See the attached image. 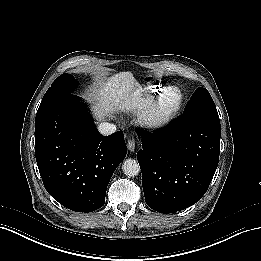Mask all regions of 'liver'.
<instances>
[{"mask_svg":"<svg viewBox=\"0 0 261 261\" xmlns=\"http://www.w3.org/2000/svg\"><path fill=\"white\" fill-rule=\"evenodd\" d=\"M88 99L94 104L92 111L95 119L101 121L111 111L109 104L114 100L110 81H100L98 86L89 94Z\"/></svg>","mask_w":261,"mask_h":261,"instance_id":"obj_1","label":"liver"}]
</instances>
